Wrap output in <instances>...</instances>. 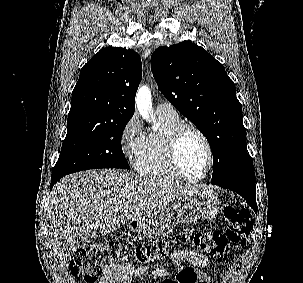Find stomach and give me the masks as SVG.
Wrapping results in <instances>:
<instances>
[{
    "label": "stomach",
    "instance_id": "obj_1",
    "mask_svg": "<svg viewBox=\"0 0 303 283\" xmlns=\"http://www.w3.org/2000/svg\"><path fill=\"white\" fill-rule=\"evenodd\" d=\"M220 201L211 190L200 188L180 196L163 211L138 220L136 230L149 239L167 236L178 223H192L199 219H213L219 212Z\"/></svg>",
    "mask_w": 303,
    "mask_h": 283
}]
</instances>
